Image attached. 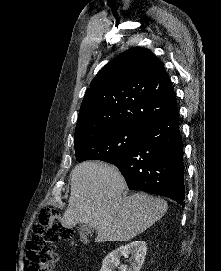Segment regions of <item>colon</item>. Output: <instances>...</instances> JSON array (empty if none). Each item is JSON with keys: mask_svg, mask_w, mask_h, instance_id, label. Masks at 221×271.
<instances>
[{"mask_svg": "<svg viewBox=\"0 0 221 271\" xmlns=\"http://www.w3.org/2000/svg\"><path fill=\"white\" fill-rule=\"evenodd\" d=\"M73 237L75 232L63 224L60 211L56 207H44L40 212L39 223L27 242L23 270L53 271L58 259L54 241H67Z\"/></svg>", "mask_w": 221, "mask_h": 271, "instance_id": "obj_1", "label": "colon"}]
</instances>
